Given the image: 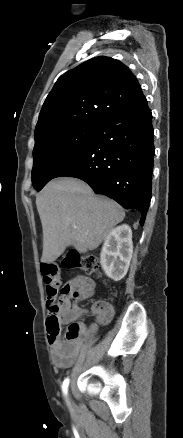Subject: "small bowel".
Wrapping results in <instances>:
<instances>
[{
	"label": "small bowel",
	"mask_w": 183,
	"mask_h": 438,
	"mask_svg": "<svg viewBox=\"0 0 183 438\" xmlns=\"http://www.w3.org/2000/svg\"><path fill=\"white\" fill-rule=\"evenodd\" d=\"M71 294L75 296L77 300H84L91 297L95 291V282L93 279L87 276L79 275L71 279L66 285ZM91 312L96 316L97 322L100 325H105L110 322L113 317V307L105 301H97L93 304ZM89 312L86 309L79 307L78 305H71L69 299L65 300L64 306L61 311V320L64 324H69L76 321L80 317L88 316ZM81 336L75 340H66L59 335L53 336L48 334V340L51 346V353L54 363L58 367L70 366L78 354L84 343V338L94 328V326L86 329L83 325Z\"/></svg>",
	"instance_id": "1"
}]
</instances>
